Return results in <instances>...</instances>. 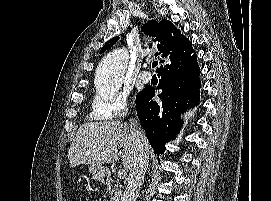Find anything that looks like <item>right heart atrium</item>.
Masks as SVG:
<instances>
[{
  "label": "right heart atrium",
  "mask_w": 271,
  "mask_h": 201,
  "mask_svg": "<svg viewBox=\"0 0 271 201\" xmlns=\"http://www.w3.org/2000/svg\"><path fill=\"white\" fill-rule=\"evenodd\" d=\"M129 111L126 95L113 93L109 97L97 95L92 103L91 115L111 121H119L127 116Z\"/></svg>",
  "instance_id": "right-heart-atrium-1"
}]
</instances>
